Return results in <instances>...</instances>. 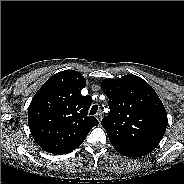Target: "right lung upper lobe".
Listing matches in <instances>:
<instances>
[{"label":"right lung upper lobe","mask_w":184,"mask_h":184,"mask_svg":"<svg viewBox=\"0 0 184 184\" xmlns=\"http://www.w3.org/2000/svg\"><path fill=\"white\" fill-rule=\"evenodd\" d=\"M86 79L74 70L50 77L28 107L29 129L36 143L52 154H66L80 146L89 131L98 125L88 116L89 95L82 96Z\"/></svg>","instance_id":"right-lung-upper-lobe-1"}]
</instances>
